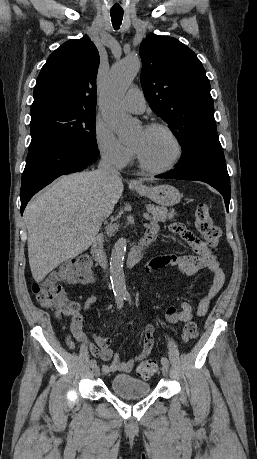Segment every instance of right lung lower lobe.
I'll return each instance as SVG.
<instances>
[{
  "instance_id": "obj_1",
  "label": "right lung lower lobe",
  "mask_w": 257,
  "mask_h": 459,
  "mask_svg": "<svg viewBox=\"0 0 257 459\" xmlns=\"http://www.w3.org/2000/svg\"><path fill=\"white\" fill-rule=\"evenodd\" d=\"M99 153L69 143L30 144L21 182V214L31 197L61 175L94 163Z\"/></svg>"
}]
</instances>
